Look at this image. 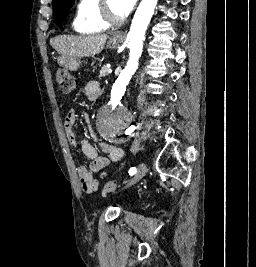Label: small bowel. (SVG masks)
Here are the masks:
<instances>
[{
    "label": "small bowel",
    "mask_w": 256,
    "mask_h": 267,
    "mask_svg": "<svg viewBox=\"0 0 256 267\" xmlns=\"http://www.w3.org/2000/svg\"><path fill=\"white\" fill-rule=\"evenodd\" d=\"M84 94L90 101H95L101 95V88L97 81H89L84 87ZM78 116L76 110L71 109L65 120L64 129L70 143L81 152L90 158L93 162L87 166L77 168V175L82 190L88 194L96 192L99 185V178L105 176V170L110 163H116L123 159L124 151L112 144L101 142L100 149L104 156L99 155L98 151L85 139L78 137L74 131L75 121ZM88 121V117L84 116ZM93 138L98 141V137L91 129ZM99 175V178L96 175Z\"/></svg>",
    "instance_id": "c3829d8e"
}]
</instances>
